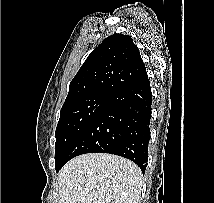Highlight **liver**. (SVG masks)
I'll use <instances>...</instances> for the list:
<instances>
[{
  "label": "liver",
  "instance_id": "1",
  "mask_svg": "<svg viewBox=\"0 0 214 203\" xmlns=\"http://www.w3.org/2000/svg\"><path fill=\"white\" fill-rule=\"evenodd\" d=\"M142 172L128 159L89 153L70 160L58 178L59 203H138Z\"/></svg>",
  "mask_w": 214,
  "mask_h": 203
}]
</instances>
